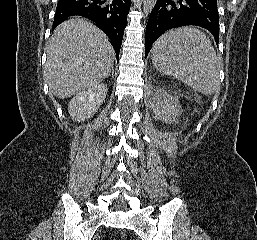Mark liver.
Segmentation results:
<instances>
[{
	"instance_id": "6515ba94",
	"label": "liver",
	"mask_w": 257,
	"mask_h": 240,
	"mask_svg": "<svg viewBox=\"0 0 257 240\" xmlns=\"http://www.w3.org/2000/svg\"><path fill=\"white\" fill-rule=\"evenodd\" d=\"M114 59L101 30L82 18H71L55 29L47 45L45 79L55 96L68 98L100 84Z\"/></svg>"
}]
</instances>
